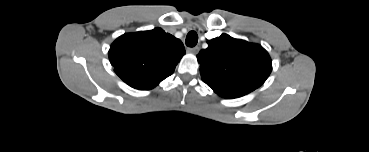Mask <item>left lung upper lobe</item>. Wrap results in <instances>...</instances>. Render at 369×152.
Masks as SVG:
<instances>
[{
    "instance_id": "1",
    "label": "left lung upper lobe",
    "mask_w": 369,
    "mask_h": 152,
    "mask_svg": "<svg viewBox=\"0 0 369 152\" xmlns=\"http://www.w3.org/2000/svg\"><path fill=\"white\" fill-rule=\"evenodd\" d=\"M197 55L202 80L224 98H238L260 87L272 71L267 51L227 34L207 41Z\"/></svg>"
}]
</instances>
